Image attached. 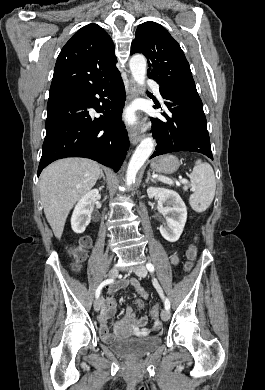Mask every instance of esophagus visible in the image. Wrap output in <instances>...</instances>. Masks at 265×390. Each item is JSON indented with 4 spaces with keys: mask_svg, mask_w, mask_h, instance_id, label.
I'll return each instance as SVG.
<instances>
[{
    "mask_svg": "<svg viewBox=\"0 0 265 390\" xmlns=\"http://www.w3.org/2000/svg\"><path fill=\"white\" fill-rule=\"evenodd\" d=\"M139 95L138 88L136 83L133 79L129 80V95H128V101L133 100ZM129 137L131 140V143L133 145L137 144L142 138L143 134L141 133L140 129L138 128H131L129 129Z\"/></svg>",
    "mask_w": 265,
    "mask_h": 390,
    "instance_id": "34e87169",
    "label": "esophagus"
}]
</instances>
